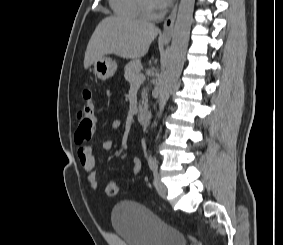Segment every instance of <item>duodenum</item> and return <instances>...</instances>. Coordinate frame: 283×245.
<instances>
[{
    "mask_svg": "<svg viewBox=\"0 0 283 245\" xmlns=\"http://www.w3.org/2000/svg\"><path fill=\"white\" fill-rule=\"evenodd\" d=\"M137 119L140 124L146 126L151 122V113L149 111L139 112Z\"/></svg>",
    "mask_w": 283,
    "mask_h": 245,
    "instance_id": "410a0bca",
    "label": "duodenum"
}]
</instances>
